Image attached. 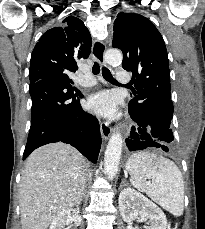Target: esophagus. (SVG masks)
I'll return each instance as SVG.
<instances>
[{
    "label": "esophagus",
    "mask_w": 205,
    "mask_h": 229,
    "mask_svg": "<svg viewBox=\"0 0 205 229\" xmlns=\"http://www.w3.org/2000/svg\"><path fill=\"white\" fill-rule=\"evenodd\" d=\"M106 46L100 40H94L92 45V55L100 63L102 67H106V62L104 59ZM100 131L103 139L108 140L111 135V127L107 121H100Z\"/></svg>",
    "instance_id": "1"
}]
</instances>
